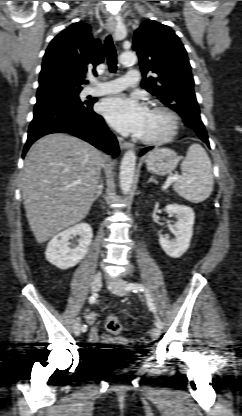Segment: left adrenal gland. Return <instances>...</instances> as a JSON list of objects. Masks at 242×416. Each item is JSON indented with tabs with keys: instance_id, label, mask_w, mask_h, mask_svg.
I'll use <instances>...</instances> for the list:
<instances>
[{
	"instance_id": "a2214340",
	"label": "left adrenal gland",
	"mask_w": 242,
	"mask_h": 416,
	"mask_svg": "<svg viewBox=\"0 0 242 416\" xmlns=\"http://www.w3.org/2000/svg\"><path fill=\"white\" fill-rule=\"evenodd\" d=\"M150 182L157 183V181L154 179V177H153V176H151V177L149 178V180H148V182H147V183H150Z\"/></svg>"
}]
</instances>
